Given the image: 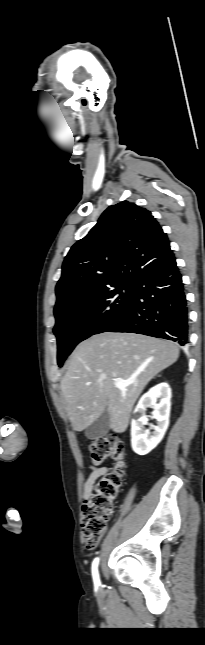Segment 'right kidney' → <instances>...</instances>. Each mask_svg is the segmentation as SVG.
Segmentation results:
<instances>
[{
  "mask_svg": "<svg viewBox=\"0 0 205 645\" xmlns=\"http://www.w3.org/2000/svg\"><path fill=\"white\" fill-rule=\"evenodd\" d=\"M171 388L167 383H160L152 387L139 400L131 421V446L138 455H146L153 450L163 439L169 426L171 408ZM153 407V418L157 425H150L145 429L148 419L145 415L147 408Z\"/></svg>",
  "mask_w": 205,
  "mask_h": 645,
  "instance_id": "1",
  "label": "right kidney"
}]
</instances>
